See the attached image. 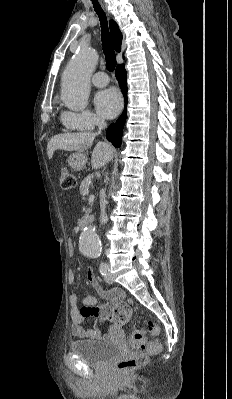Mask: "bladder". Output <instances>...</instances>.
I'll return each mask as SVG.
<instances>
[{"mask_svg":"<svg viewBox=\"0 0 232 399\" xmlns=\"http://www.w3.org/2000/svg\"><path fill=\"white\" fill-rule=\"evenodd\" d=\"M72 353L92 365H103L119 356L122 347L104 340H76L69 344Z\"/></svg>","mask_w":232,"mask_h":399,"instance_id":"31cf9c89","label":"bladder"}]
</instances>
